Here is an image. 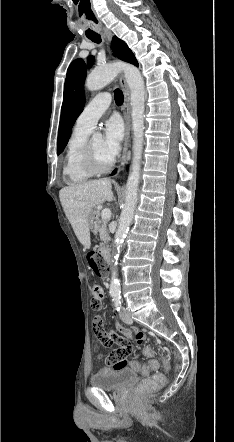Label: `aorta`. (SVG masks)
<instances>
[{
    "mask_svg": "<svg viewBox=\"0 0 234 442\" xmlns=\"http://www.w3.org/2000/svg\"><path fill=\"white\" fill-rule=\"evenodd\" d=\"M123 71L126 82L130 89V104L132 117V163L131 171L126 183L125 203L119 218L118 228L114 236V267L112 269L110 293H120V283L117 278L119 254L129 231L131 221L137 204L139 189L141 159L144 142V110H145V87L144 80L137 67L128 63H113L102 68L93 70L86 78L85 86L90 91H97L110 83L119 72Z\"/></svg>",
    "mask_w": 234,
    "mask_h": 442,
    "instance_id": "obj_1",
    "label": "aorta"
}]
</instances>
